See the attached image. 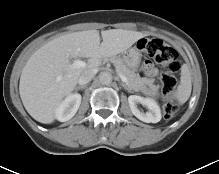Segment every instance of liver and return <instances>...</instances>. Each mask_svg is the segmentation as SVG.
<instances>
[{
	"instance_id": "obj_1",
	"label": "liver",
	"mask_w": 219,
	"mask_h": 174,
	"mask_svg": "<svg viewBox=\"0 0 219 174\" xmlns=\"http://www.w3.org/2000/svg\"><path fill=\"white\" fill-rule=\"evenodd\" d=\"M73 32L59 36L36 50L24 66L19 93L27 112L36 121L50 124L55 110L76 87L80 75L95 70L102 59L117 55L143 37L141 32L110 29ZM89 58L83 68H73L71 59Z\"/></svg>"
}]
</instances>
